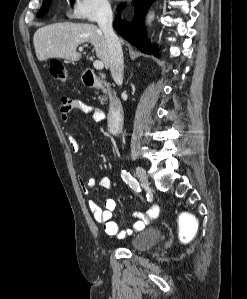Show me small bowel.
Returning a JSON list of instances; mask_svg holds the SVG:
<instances>
[{
  "instance_id": "obj_1",
  "label": "small bowel",
  "mask_w": 247,
  "mask_h": 299,
  "mask_svg": "<svg viewBox=\"0 0 247 299\" xmlns=\"http://www.w3.org/2000/svg\"><path fill=\"white\" fill-rule=\"evenodd\" d=\"M72 110H77L83 114L90 115L98 122L102 121L105 117L104 112L100 108L91 106L79 99L64 97L60 109L61 118L64 122L69 120V114ZM68 143L72 151L78 152L80 150V143L71 134L68 135ZM95 185L96 180L94 178H80V186L84 194H89ZM98 185L104 189H110L112 187V180L107 176L102 177L99 180ZM88 207L94 220L103 226L105 233L116 238H124L134 232L141 231L147 224L153 222L159 214V207L156 204H154L146 214L134 212L132 214V217L135 219L133 228L123 231L119 229L117 222L112 219L113 212L117 207V203L113 198L106 199L103 208L94 201H90Z\"/></svg>"
}]
</instances>
